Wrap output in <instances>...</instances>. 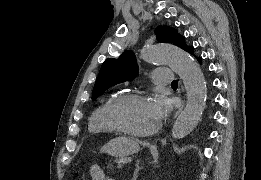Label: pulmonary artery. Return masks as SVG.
Listing matches in <instances>:
<instances>
[{
  "mask_svg": "<svg viewBox=\"0 0 261 180\" xmlns=\"http://www.w3.org/2000/svg\"><path fill=\"white\" fill-rule=\"evenodd\" d=\"M154 78L153 83H174V78L163 77H177V72H171V67H156L153 70Z\"/></svg>",
  "mask_w": 261,
  "mask_h": 180,
  "instance_id": "1",
  "label": "pulmonary artery"
}]
</instances>
